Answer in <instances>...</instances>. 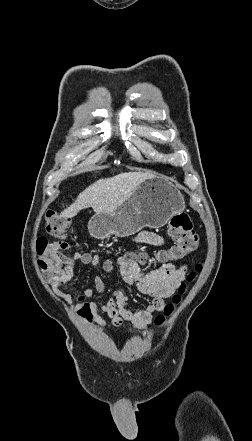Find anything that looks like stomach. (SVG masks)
Instances as JSON below:
<instances>
[{"instance_id": "0dacf381", "label": "stomach", "mask_w": 252, "mask_h": 441, "mask_svg": "<svg viewBox=\"0 0 252 441\" xmlns=\"http://www.w3.org/2000/svg\"><path fill=\"white\" fill-rule=\"evenodd\" d=\"M185 209L181 192L168 179L154 176L143 181L113 212L95 213L90 234L97 239L128 237L144 227L160 228Z\"/></svg>"}]
</instances>
